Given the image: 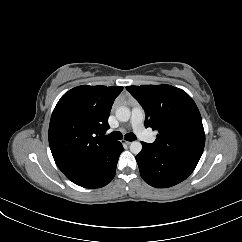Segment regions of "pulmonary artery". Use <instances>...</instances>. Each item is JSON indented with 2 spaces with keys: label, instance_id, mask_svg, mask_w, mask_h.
Here are the masks:
<instances>
[{
  "label": "pulmonary artery",
  "instance_id": "pulmonary-artery-1",
  "mask_svg": "<svg viewBox=\"0 0 242 242\" xmlns=\"http://www.w3.org/2000/svg\"><path fill=\"white\" fill-rule=\"evenodd\" d=\"M144 111L141 107L136 106L131 112V124L134 132L144 141L148 143L154 142V138L147 132L144 127Z\"/></svg>",
  "mask_w": 242,
  "mask_h": 242
}]
</instances>
